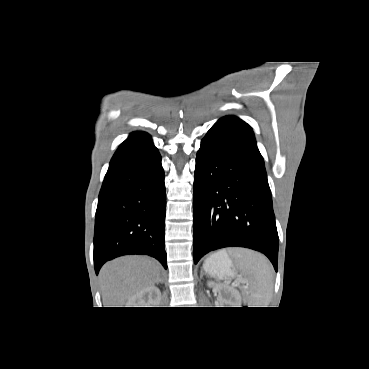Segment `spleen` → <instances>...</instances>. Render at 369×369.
Returning a JSON list of instances; mask_svg holds the SVG:
<instances>
[{
  "label": "spleen",
  "instance_id": "spleen-1",
  "mask_svg": "<svg viewBox=\"0 0 369 369\" xmlns=\"http://www.w3.org/2000/svg\"><path fill=\"white\" fill-rule=\"evenodd\" d=\"M237 267L244 271L250 281V307H267L273 289V267L269 260L260 253L246 249L230 251Z\"/></svg>",
  "mask_w": 369,
  "mask_h": 369
}]
</instances>
